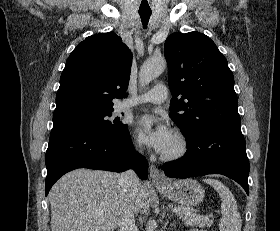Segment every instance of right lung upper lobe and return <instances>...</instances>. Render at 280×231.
Returning a JSON list of instances; mask_svg holds the SVG:
<instances>
[{
    "mask_svg": "<svg viewBox=\"0 0 280 231\" xmlns=\"http://www.w3.org/2000/svg\"><path fill=\"white\" fill-rule=\"evenodd\" d=\"M132 55L113 32L87 37L70 54L61 74L53 123L113 111L127 97Z\"/></svg>",
    "mask_w": 280,
    "mask_h": 231,
    "instance_id": "right-lung-upper-lobe-1",
    "label": "right lung upper lobe"
}]
</instances>
